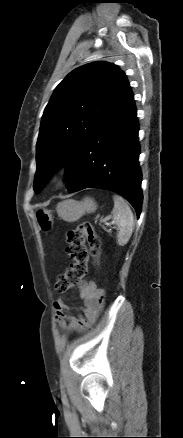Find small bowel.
Wrapping results in <instances>:
<instances>
[{"instance_id":"1","label":"small bowel","mask_w":183,"mask_h":438,"mask_svg":"<svg viewBox=\"0 0 183 438\" xmlns=\"http://www.w3.org/2000/svg\"><path fill=\"white\" fill-rule=\"evenodd\" d=\"M77 291L83 301L81 307L83 317L70 314L71 307L64 298H59L54 303L56 319L61 327L68 332L72 330L82 332L90 328L97 320L104 305L105 294L97 288L94 282L82 281L78 285Z\"/></svg>"}]
</instances>
